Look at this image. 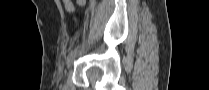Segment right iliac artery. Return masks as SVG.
I'll return each mask as SVG.
<instances>
[{
  "label": "right iliac artery",
  "mask_w": 209,
  "mask_h": 90,
  "mask_svg": "<svg viewBox=\"0 0 209 90\" xmlns=\"http://www.w3.org/2000/svg\"><path fill=\"white\" fill-rule=\"evenodd\" d=\"M77 49H78V47L75 48V49H73V50L69 53L68 59H70V58H72V57H74V56L76 55Z\"/></svg>",
  "instance_id": "82829eb1"
}]
</instances>
